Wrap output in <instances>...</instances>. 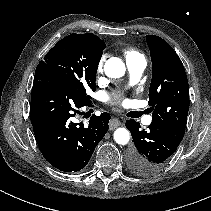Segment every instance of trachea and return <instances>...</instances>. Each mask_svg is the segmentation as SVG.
Returning <instances> with one entry per match:
<instances>
[{"label":"trachea","mask_w":211,"mask_h":211,"mask_svg":"<svg viewBox=\"0 0 211 211\" xmlns=\"http://www.w3.org/2000/svg\"><path fill=\"white\" fill-rule=\"evenodd\" d=\"M142 115V112H138L137 114H136V117L135 118H138V117H140Z\"/></svg>","instance_id":"3493384b"}]
</instances>
